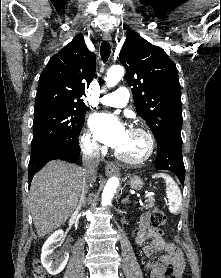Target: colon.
<instances>
[{
  "mask_svg": "<svg viewBox=\"0 0 221 278\" xmlns=\"http://www.w3.org/2000/svg\"><path fill=\"white\" fill-rule=\"evenodd\" d=\"M150 222L153 226H161L165 223L166 217L164 212L158 206L154 207L149 213ZM164 278H177L175 270L170 265L164 266ZM34 278H50L39 261H35L33 265Z\"/></svg>",
  "mask_w": 221,
  "mask_h": 278,
  "instance_id": "obj_1",
  "label": "colon"
}]
</instances>
